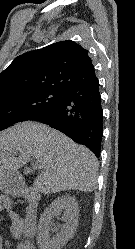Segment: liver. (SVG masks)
<instances>
[{
	"instance_id": "obj_1",
	"label": "liver",
	"mask_w": 135,
	"mask_h": 249,
	"mask_svg": "<svg viewBox=\"0 0 135 249\" xmlns=\"http://www.w3.org/2000/svg\"><path fill=\"white\" fill-rule=\"evenodd\" d=\"M32 159L41 170L33 183L38 192L96 188L99 164L87 147L37 122L18 123L0 132V167L17 172Z\"/></svg>"
}]
</instances>
